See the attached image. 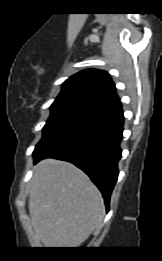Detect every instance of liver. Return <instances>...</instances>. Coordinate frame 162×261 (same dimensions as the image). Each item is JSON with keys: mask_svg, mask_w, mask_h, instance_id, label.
<instances>
[{"mask_svg": "<svg viewBox=\"0 0 162 261\" xmlns=\"http://www.w3.org/2000/svg\"><path fill=\"white\" fill-rule=\"evenodd\" d=\"M29 213L36 238L45 247L74 248L100 226L104 202L81 170L68 162L45 159L34 168Z\"/></svg>", "mask_w": 162, "mask_h": 261, "instance_id": "obj_1", "label": "liver"}]
</instances>
